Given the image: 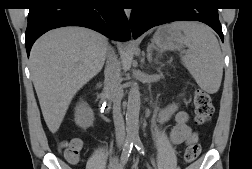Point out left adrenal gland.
Returning <instances> with one entry per match:
<instances>
[{
    "label": "left adrenal gland",
    "mask_w": 252,
    "mask_h": 169,
    "mask_svg": "<svg viewBox=\"0 0 252 169\" xmlns=\"http://www.w3.org/2000/svg\"><path fill=\"white\" fill-rule=\"evenodd\" d=\"M156 50L159 52V49L154 45L153 41H151V43L148 45L147 47V60L149 61V63L152 62V51ZM156 63H158V60H155Z\"/></svg>",
    "instance_id": "left-adrenal-gland-1"
}]
</instances>
